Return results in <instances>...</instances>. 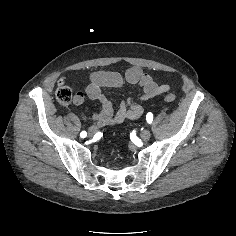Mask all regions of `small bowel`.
Listing matches in <instances>:
<instances>
[{
  "label": "small bowel",
  "mask_w": 236,
  "mask_h": 236,
  "mask_svg": "<svg viewBox=\"0 0 236 236\" xmlns=\"http://www.w3.org/2000/svg\"><path fill=\"white\" fill-rule=\"evenodd\" d=\"M125 84L137 85L142 89L138 99H128L122 102L116 112L112 103L103 93V88H120ZM169 85L156 82L152 76L145 73L140 67L129 68L124 74L112 71H95L90 75V82L83 92L74 96V104L81 106L85 95L100 103L101 109L92 116L82 115L85 121H93L98 126L121 124L126 120H134L144 113V102L169 91Z\"/></svg>",
  "instance_id": "obj_1"
}]
</instances>
